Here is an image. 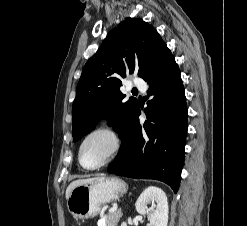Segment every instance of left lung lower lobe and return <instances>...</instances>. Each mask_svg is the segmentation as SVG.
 <instances>
[{"mask_svg": "<svg viewBox=\"0 0 247 226\" xmlns=\"http://www.w3.org/2000/svg\"><path fill=\"white\" fill-rule=\"evenodd\" d=\"M143 79L152 99L140 125L139 104L120 131L121 149L107 171L136 179H155L176 193L180 184L187 134V107L180 70L165 45Z\"/></svg>", "mask_w": 247, "mask_h": 226, "instance_id": "left-lung-lower-lobe-1", "label": "left lung lower lobe"}]
</instances>
